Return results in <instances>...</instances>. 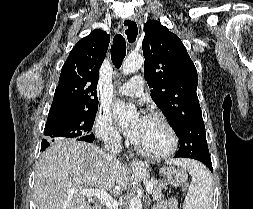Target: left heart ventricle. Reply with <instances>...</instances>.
<instances>
[{"label":"left heart ventricle","mask_w":253,"mask_h":209,"mask_svg":"<svg viewBox=\"0 0 253 209\" xmlns=\"http://www.w3.org/2000/svg\"><path fill=\"white\" fill-rule=\"evenodd\" d=\"M136 143L147 152L160 153L169 147L170 135L161 122L149 117Z\"/></svg>","instance_id":"obj_1"}]
</instances>
